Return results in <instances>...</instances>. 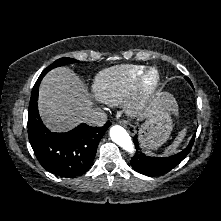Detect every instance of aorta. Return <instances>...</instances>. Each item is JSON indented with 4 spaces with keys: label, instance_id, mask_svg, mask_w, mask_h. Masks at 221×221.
<instances>
[{
    "label": "aorta",
    "instance_id": "obj_1",
    "mask_svg": "<svg viewBox=\"0 0 221 221\" xmlns=\"http://www.w3.org/2000/svg\"><path fill=\"white\" fill-rule=\"evenodd\" d=\"M110 137L113 142L130 154H134L135 148L128 132L121 126L115 125L110 128Z\"/></svg>",
    "mask_w": 221,
    "mask_h": 221
}]
</instances>
